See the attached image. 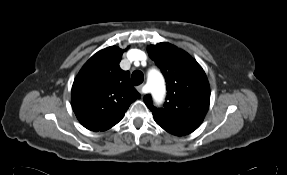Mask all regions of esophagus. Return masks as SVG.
Masks as SVG:
<instances>
[{
    "label": "esophagus",
    "instance_id": "obj_1",
    "mask_svg": "<svg viewBox=\"0 0 287 175\" xmlns=\"http://www.w3.org/2000/svg\"><path fill=\"white\" fill-rule=\"evenodd\" d=\"M137 90L143 95L144 94V86L143 85H139L137 87Z\"/></svg>",
    "mask_w": 287,
    "mask_h": 175
}]
</instances>
